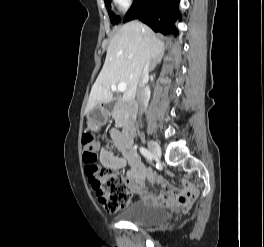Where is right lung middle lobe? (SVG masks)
<instances>
[{
  "label": "right lung middle lobe",
  "mask_w": 264,
  "mask_h": 247,
  "mask_svg": "<svg viewBox=\"0 0 264 247\" xmlns=\"http://www.w3.org/2000/svg\"><path fill=\"white\" fill-rule=\"evenodd\" d=\"M106 8L108 10L111 22L113 25L117 24L119 22V18L118 17H114L113 14L111 13V6H110V0H104Z\"/></svg>",
  "instance_id": "dd1d6c3e"
}]
</instances>
